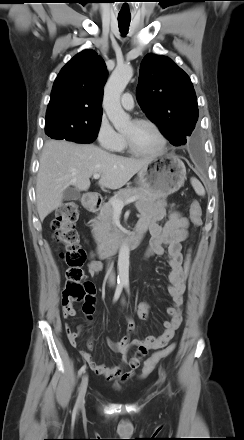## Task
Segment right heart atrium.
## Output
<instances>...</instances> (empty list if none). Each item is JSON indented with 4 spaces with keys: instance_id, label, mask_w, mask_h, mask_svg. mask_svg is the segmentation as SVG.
<instances>
[{
    "instance_id": "1",
    "label": "right heart atrium",
    "mask_w": 244,
    "mask_h": 440,
    "mask_svg": "<svg viewBox=\"0 0 244 440\" xmlns=\"http://www.w3.org/2000/svg\"><path fill=\"white\" fill-rule=\"evenodd\" d=\"M96 139L101 147L111 151L115 150L120 143L121 135L113 128L105 115L100 118Z\"/></svg>"
}]
</instances>
